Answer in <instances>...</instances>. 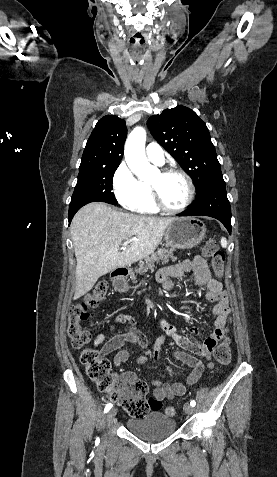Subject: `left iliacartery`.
<instances>
[{"mask_svg": "<svg viewBox=\"0 0 277 477\" xmlns=\"http://www.w3.org/2000/svg\"><path fill=\"white\" fill-rule=\"evenodd\" d=\"M190 405H191L192 407H194V406L196 405V402H195L194 400H191V401H190Z\"/></svg>", "mask_w": 277, "mask_h": 477, "instance_id": "left-iliac-artery-1", "label": "left iliac artery"}]
</instances>
